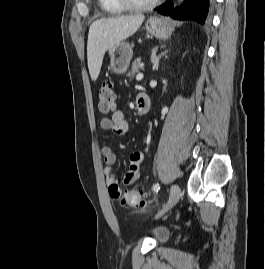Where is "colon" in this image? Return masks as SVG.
<instances>
[{
	"instance_id": "colon-1",
	"label": "colon",
	"mask_w": 265,
	"mask_h": 269,
	"mask_svg": "<svg viewBox=\"0 0 265 269\" xmlns=\"http://www.w3.org/2000/svg\"><path fill=\"white\" fill-rule=\"evenodd\" d=\"M98 108L102 114H109L116 108V94L110 81H105L99 88ZM109 191L113 198L120 200L125 206L142 207L146 203L147 195L139 189L123 192L118 186H111Z\"/></svg>"
}]
</instances>
